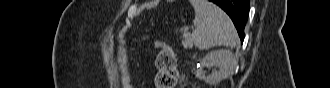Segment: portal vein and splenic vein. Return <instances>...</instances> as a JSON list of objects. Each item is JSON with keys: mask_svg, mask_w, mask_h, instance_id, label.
Wrapping results in <instances>:
<instances>
[{"mask_svg": "<svg viewBox=\"0 0 330 88\" xmlns=\"http://www.w3.org/2000/svg\"><path fill=\"white\" fill-rule=\"evenodd\" d=\"M189 28L188 27H185L184 28V32H188Z\"/></svg>", "mask_w": 330, "mask_h": 88, "instance_id": "portal-vein-and-splenic-vein-1", "label": "portal vein and splenic vein"}]
</instances>
